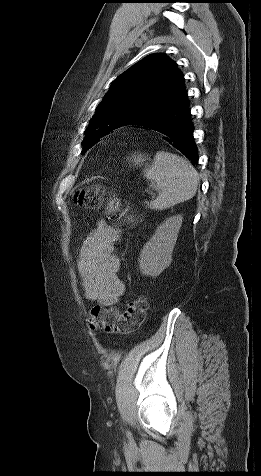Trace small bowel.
<instances>
[{
    "mask_svg": "<svg viewBox=\"0 0 261 476\" xmlns=\"http://www.w3.org/2000/svg\"><path fill=\"white\" fill-rule=\"evenodd\" d=\"M120 238L118 228L101 220L78 252V275L84 296L105 307L117 305L125 291L118 276L120 260L116 246Z\"/></svg>",
    "mask_w": 261,
    "mask_h": 476,
    "instance_id": "obj_1",
    "label": "small bowel"
}]
</instances>
